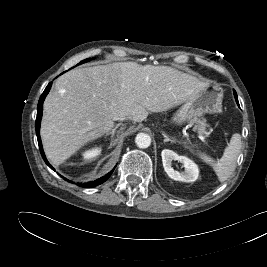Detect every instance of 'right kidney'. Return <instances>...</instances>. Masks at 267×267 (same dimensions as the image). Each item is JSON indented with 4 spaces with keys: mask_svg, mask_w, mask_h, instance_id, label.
Wrapping results in <instances>:
<instances>
[{
    "mask_svg": "<svg viewBox=\"0 0 267 267\" xmlns=\"http://www.w3.org/2000/svg\"><path fill=\"white\" fill-rule=\"evenodd\" d=\"M101 154V147H95L90 150H87L83 153L84 159H92Z\"/></svg>",
    "mask_w": 267,
    "mask_h": 267,
    "instance_id": "right-kidney-1",
    "label": "right kidney"
}]
</instances>
